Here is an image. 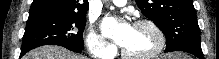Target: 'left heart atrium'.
<instances>
[{"label":"left heart atrium","mask_w":219,"mask_h":59,"mask_svg":"<svg viewBox=\"0 0 219 59\" xmlns=\"http://www.w3.org/2000/svg\"><path fill=\"white\" fill-rule=\"evenodd\" d=\"M101 26L104 34L122 47L126 44L133 31L131 24L128 22H118L112 17L105 18Z\"/></svg>","instance_id":"obj_1"}]
</instances>
